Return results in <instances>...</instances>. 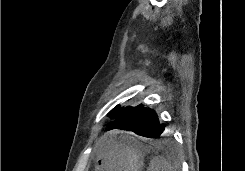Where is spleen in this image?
<instances>
[{"label":"spleen","mask_w":245,"mask_h":171,"mask_svg":"<svg viewBox=\"0 0 245 171\" xmlns=\"http://www.w3.org/2000/svg\"><path fill=\"white\" fill-rule=\"evenodd\" d=\"M147 171H176L172 164L164 157H154L150 163Z\"/></svg>","instance_id":"3e777b00"}]
</instances>
